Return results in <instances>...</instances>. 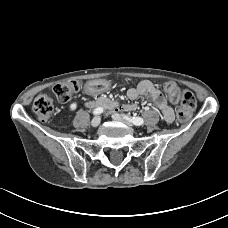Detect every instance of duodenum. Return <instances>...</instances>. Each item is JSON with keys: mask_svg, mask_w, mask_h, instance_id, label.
Segmentation results:
<instances>
[{"mask_svg": "<svg viewBox=\"0 0 228 228\" xmlns=\"http://www.w3.org/2000/svg\"><path fill=\"white\" fill-rule=\"evenodd\" d=\"M103 103H105L108 107H116L118 103L111 101L109 99H104Z\"/></svg>", "mask_w": 228, "mask_h": 228, "instance_id": "duodenum-1", "label": "duodenum"}]
</instances>
